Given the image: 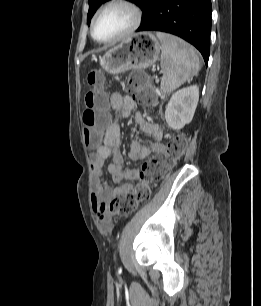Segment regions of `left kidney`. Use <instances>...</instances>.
Segmentation results:
<instances>
[{
    "instance_id": "obj_1",
    "label": "left kidney",
    "mask_w": 261,
    "mask_h": 306,
    "mask_svg": "<svg viewBox=\"0 0 261 306\" xmlns=\"http://www.w3.org/2000/svg\"><path fill=\"white\" fill-rule=\"evenodd\" d=\"M198 100L199 87L197 85L176 91L171 96L165 111L168 126L174 130H180L189 124L193 119Z\"/></svg>"
}]
</instances>
